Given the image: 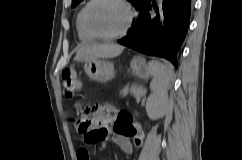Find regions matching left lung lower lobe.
Wrapping results in <instances>:
<instances>
[{
    "instance_id": "left-lung-lower-lobe-1",
    "label": "left lung lower lobe",
    "mask_w": 242,
    "mask_h": 160,
    "mask_svg": "<svg viewBox=\"0 0 242 160\" xmlns=\"http://www.w3.org/2000/svg\"><path fill=\"white\" fill-rule=\"evenodd\" d=\"M191 10L192 0H163L159 7L154 0H146L127 36L118 42L177 66V53L189 27Z\"/></svg>"
}]
</instances>
